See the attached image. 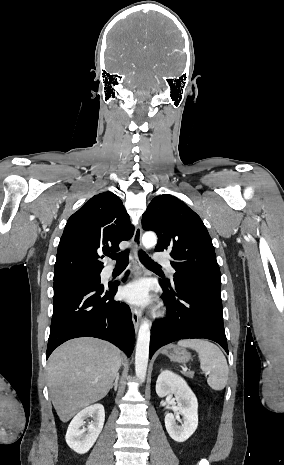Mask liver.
<instances>
[{"mask_svg": "<svg viewBox=\"0 0 284 465\" xmlns=\"http://www.w3.org/2000/svg\"><path fill=\"white\" fill-rule=\"evenodd\" d=\"M117 347L98 339H73L58 347L48 361V387L62 423L106 397L120 369Z\"/></svg>", "mask_w": 284, "mask_h": 465, "instance_id": "obj_1", "label": "liver"}]
</instances>
